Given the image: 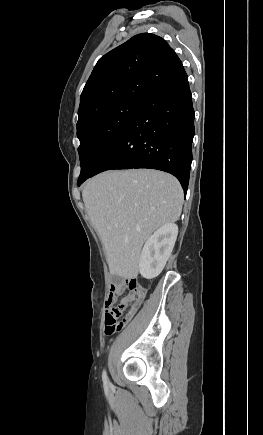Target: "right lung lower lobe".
<instances>
[{"label": "right lung lower lobe", "instance_id": "98d812e1", "mask_svg": "<svg viewBox=\"0 0 263 435\" xmlns=\"http://www.w3.org/2000/svg\"><path fill=\"white\" fill-rule=\"evenodd\" d=\"M193 137L194 109L183 68L143 102L90 177L112 169H157L174 175L186 191Z\"/></svg>", "mask_w": 263, "mask_h": 435}]
</instances>
